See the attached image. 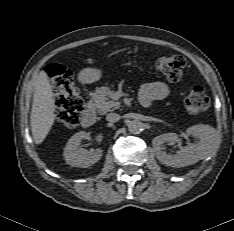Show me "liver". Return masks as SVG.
I'll return each mask as SVG.
<instances>
[{"label":"liver","mask_w":234,"mask_h":231,"mask_svg":"<svg viewBox=\"0 0 234 231\" xmlns=\"http://www.w3.org/2000/svg\"><path fill=\"white\" fill-rule=\"evenodd\" d=\"M34 88L30 124L34 142L38 145L44 141L56 118L55 99L46 71L39 73Z\"/></svg>","instance_id":"liver-1"}]
</instances>
